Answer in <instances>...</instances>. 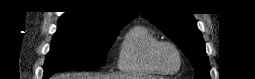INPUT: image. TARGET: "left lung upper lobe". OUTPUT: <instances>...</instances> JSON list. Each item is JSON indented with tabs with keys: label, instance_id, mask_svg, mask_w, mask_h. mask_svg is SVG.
<instances>
[{
	"label": "left lung upper lobe",
	"instance_id": "5c2ea615",
	"mask_svg": "<svg viewBox=\"0 0 255 79\" xmlns=\"http://www.w3.org/2000/svg\"><path fill=\"white\" fill-rule=\"evenodd\" d=\"M162 4L153 3L150 9L141 14L179 46L191 61L196 71V79H210L204 40L194 17L190 13L172 11Z\"/></svg>",
	"mask_w": 255,
	"mask_h": 79
}]
</instances>
